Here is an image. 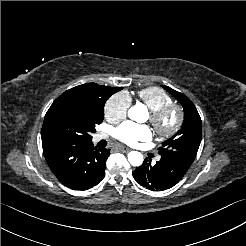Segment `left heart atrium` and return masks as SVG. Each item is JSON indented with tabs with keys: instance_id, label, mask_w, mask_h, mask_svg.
<instances>
[{
	"instance_id": "obj_1",
	"label": "left heart atrium",
	"mask_w": 246,
	"mask_h": 246,
	"mask_svg": "<svg viewBox=\"0 0 246 246\" xmlns=\"http://www.w3.org/2000/svg\"><path fill=\"white\" fill-rule=\"evenodd\" d=\"M114 134L117 139L129 145H135L152 137V131L148 126L131 121L125 122L116 128Z\"/></svg>"
}]
</instances>
